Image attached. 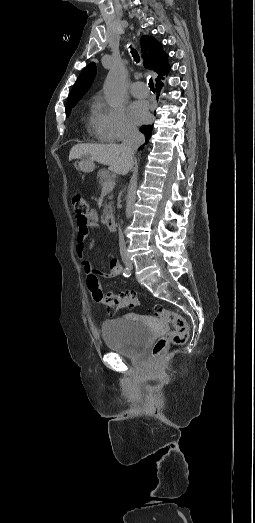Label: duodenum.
<instances>
[{
  "label": "duodenum",
  "instance_id": "duodenum-1",
  "mask_svg": "<svg viewBox=\"0 0 255 523\" xmlns=\"http://www.w3.org/2000/svg\"><path fill=\"white\" fill-rule=\"evenodd\" d=\"M105 225L110 231H114L116 229V219L113 215H107L105 217Z\"/></svg>",
  "mask_w": 255,
  "mask_h": 523
}]
</instances>
